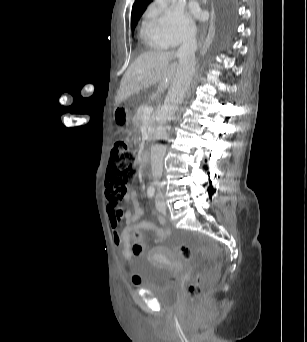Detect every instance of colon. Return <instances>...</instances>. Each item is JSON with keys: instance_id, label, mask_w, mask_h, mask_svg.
<instances>
[{"instance_id": "1", "label": "colon", "mask_w": 307, "mask_h": 342, "mask_svg": "<svg viewBox=\"0 0 307 342\" xmlns=\"http://www.w3.org/2000/svg\"><path fill=\"white\" fill-rule=\"evenodd\" d=\"M136 158L134 153L126 140L118 141L114 144L111 151V159L109 167L106 171V195L111 202V207L115 210L124 201L128 188L136 177ZM107 200H104V202ZM132 236L133 243L130 244L133 256H140L143 250L140 231L134 230ZM176 252L184 260H189L192 251L188 246H177ZM194 281H188V294H185V301L187 307H200V295H203V288L205 282L201 279V270L195 269ZM133 285L141 284V277L133 275L131 278Z\"/></svg>"}]
</instances>
